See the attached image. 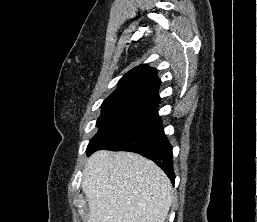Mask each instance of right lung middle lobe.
I'll return each mask as SVG.
<instances>
[{"label": "right lung middle lobe", "instance_id": "dd1d6c3e", "mask_svg": "<svg viewBox=\"0 0 257 222\" xmlns=\"http://www.w3.org/2000/svg\"><path fill=\"white\" fill-rule=\"evenodd\" d=\"M101 108L96 123L99 130L91 139L87 152L109 143L158 113L157 104L142 100L103 102Z\"/></svg>", "mask_w": 257, "mask_h": 222}]
</instances>
